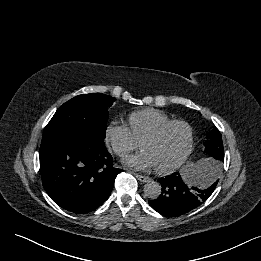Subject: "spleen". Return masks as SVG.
<instances>
[{"mask_svg": "<svg viewBox=\"0 0 261 261\" xmlns=\"http://www.w3.org/2000/svg\"><path fill=\"white\" fill-rule=\"evenodd\" d=\"M201 167L200 165H196L193 168L185 169L182 173L183 179L190 185H197L199 183Z\"/></svg>", "mask_w": 261, "mask_h": 261, "instance_id": "obj_1", "label": "spleen"}]
</instances>
